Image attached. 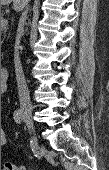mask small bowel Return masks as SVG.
Masks as SVG:
<instances>
[{
  "mask_svg": "<svg viewBox=\"0 0 109 170\" xmlns=\"http://www.w3.org/2000/svg\"><path fill=\"white\" fill-rule=\"evenodd\" d=\"M6 143V137L5 135L1 136V145H4Z\"/></svg>",
  "mask_w": 109,
  "mask_h": 170,
  "instance_id": "c3829d8e",
  "label": "small bowel"
}]
</instances>
